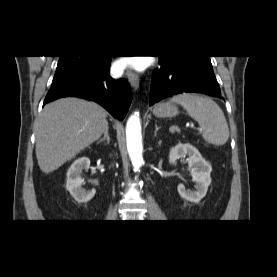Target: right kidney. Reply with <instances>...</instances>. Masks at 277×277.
Instances as JSON below:
<instances>
[{"instance_id": "1", "label": "right kidney", "mask_w": 277, "mask_h": 277, "mask_svg": "<svg viewBox=\"0 0 277 277\" xmlns=\"http://www.w3.org/2000/svg\"><path fill=\"white\" fill-rule=\"evenodd\" d=\"M90 160L87 157H81L75 160L67 171L66 188L72 197L79 203H87L90 201L96 190L86 191L82 189L83 180L81 178L82 170L88 169Z\"/></svg>"}]
</instances>
